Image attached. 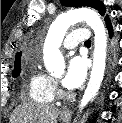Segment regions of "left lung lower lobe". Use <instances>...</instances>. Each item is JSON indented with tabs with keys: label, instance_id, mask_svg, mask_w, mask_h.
<instances>
[{
	"label": "left lung lower lobe",
	"instance_id": "obj_1",
	"mask_svg": "<svg viewBox=\"0 0 122 123\" xmlns=\"http://www.w3.org/2000/svg\"><path fill=\"white\" fill-rule=\"evenodd\" d=\"M104 20H105V23H106V28L109 32V37L112 38L113 37V28H112V24H111L109 16L108 15L105 16ZM112 49H113V54H116L117 53V41H116V39H113Z\"/></svg>",
	"mask_w": 122,
	"mask_h": 123
}]
</instances>
